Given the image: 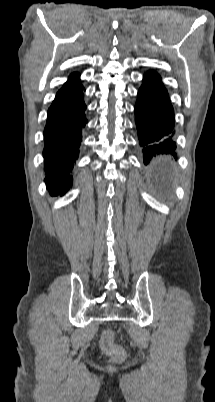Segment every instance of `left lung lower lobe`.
Here are the masks:
<instances>
[{"label":"left lung lower lobe","instance_id":"left-lung-lower-lobe-1","mask_svg":"<svg viewBox=\"0 0 215 402\" xmlns=\"http://www.w3.org/2000/svg\"><path fill=\"white\" fill-rule=\"evenodd\" d=\"M135 122L144 163L159 155H174V110L160 75L153 70L143 76L135 104Z\"/></svg>","mask_w":215,"mask_h":402}]
</instances>
